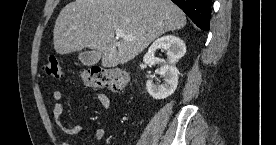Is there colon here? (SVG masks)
<instances>
[{"label": "colon", "mask_w": 276, "mask_h": 145, "mask_svg": "<svg viewBox=\"0 0 276 145\" xmlns=\"http://www.w3.org/2000/svg\"><path fill=\"white\" fill-rule=\"evenodd\" d=\"M45 76L53 79H61L63 74L59 60L55 56L49 57L43 65ZM83 83L90 87L108 88L115 91H123L128 86V76L125 71L102 66H91L80 72Z\"/></svg>", "instance_id": "5ec220e1"}]
</instances>
